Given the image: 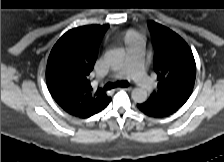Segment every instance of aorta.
Segmentation results:
<instances>
[{"label": "aorta", "instance_id": "762f6f07", "mask_svg": "<svg viewBox=\"0 0 224 162\" xmlns=\"http://www.w3.org/2000/svg\"><path fill=\"white\" fill-rule=\"evenodd\" d=\"M124 58L121 50H112L107 53L106 60L113 69H118ZM147 91L143 88H135L131 92V98L136 103H144L147 100Z\"/></svg>", "mask_w": 224, "mask_h": 162}]
</instances>
